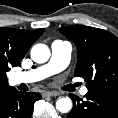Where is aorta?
<instances>
[{
	"instance_id": "762f6f07",
	"label": "aorta",
	"mask_w": 118,
	"mask_h": 118,
	"mask_svg": "<svg viewBox=\"0 0 118 118\" xmlns=\"http://www.w3.org/2000/svg\"><path fill=\"white\" fill-rule=\"evenodd\" d=\"M50 58V49L45 44H36L31 49V59L39 64L45 63ZM73 106L69 97H60L56 101V109L61 113H68Z\"/></svg>"
}]
</instances>
